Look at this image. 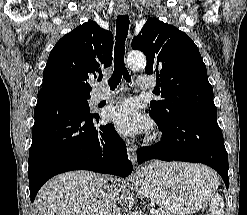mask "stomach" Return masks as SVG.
<instances>
[{
    "label": "stomach",
    "instance_id": "1",
    "mask_svg": "<svg viewBox=\"0 0 247 215\" xmlns=\"http://www.w3.org/2000/svg\"><path fill=\"white\" fill-rule=\"evenodd\" d=\"M192 165L155 161L139 172L135 189L172 215H191L207 203L217 187L216 176Z\"/></svg>",
    "mask_w": 247,
    "mask_h": 215
}]
</instances>
